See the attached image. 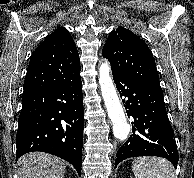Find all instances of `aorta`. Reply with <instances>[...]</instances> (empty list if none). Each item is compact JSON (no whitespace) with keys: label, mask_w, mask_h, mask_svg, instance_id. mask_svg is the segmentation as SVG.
I'll use <instances>...</instances> for the list:
<instances>
[{"label":"aorta","mask_w":194,"mask_h":178,"mask_svg":"<svg viewBox=\"0 0 194 178\" xmlns=\"http://www.w3.org/2000/svg\"><path fill=\"white\" fill-rule=\"evenodd\" d=\"M99 85L108 116L113 124L114 137L119 140H125L130 132V125L127 123L122 105L116 93L110 76V66L107 61L102 63L99 68Z\"/></svg>","instance_id":"1"}]
</instances>
